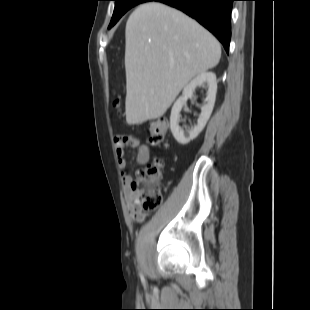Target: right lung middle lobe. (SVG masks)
Listing matches in <instances>:
<instances>
[{
	"instance_id": "right-lung-middle-lobe-1",
	"label": "right lung middle lobe",
	"mask_w": 310,
	"mask_h": 310,
	"mask_svg": "<svg viewBox=\"0 0 310 310\" xmlns=\"http://www.w3.org/2000/svg\"><path fill=\"white\" fill-rule=\"evenodd\" d=\"M115 9L108 28H111L129 9L149 0H114Z\"/></svg>"
}]
</instances>
